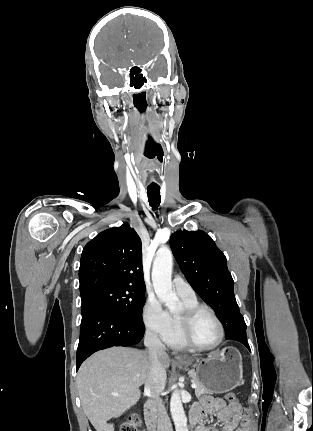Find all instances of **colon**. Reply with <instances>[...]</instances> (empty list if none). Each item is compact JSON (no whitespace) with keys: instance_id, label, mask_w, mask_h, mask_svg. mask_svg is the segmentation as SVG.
Wrapping results in <instances>:
<instances>
[{"instance_id":"5ec220e1","label":"colon","mask_w":313,"mask_h":431,"mask_svg":"<svg viewBox=\"0 0 313 431\" xmlns=\"http://www.w3.org/2000/svg\"><path fill=\"white\" fill-rule=\"evenodd\" d=\"M225 398L230 404L237 403V396L233 392H228ZM139 425H140V418L138 416H134L130 421L124 423L121 426L120 431H138Z\"/></svg>"}]
</instances>
